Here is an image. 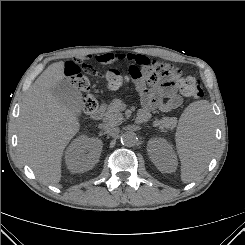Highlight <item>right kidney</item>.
<instances>
[{"label":"right kidney","mask_w":245,"mask_h":245,"mask_svg":"<svg viewBox=\"0 0 245 245\" xmlns=\"http://www.w3.org/2000/svg\"><path fill=\"white\" fill-rule=\"evenodd\" d=\"M103 142L98 138L81 135L73 140L65 153L68 169L73 173H83L92 169L99 161Z\"/></svg>","instance_id":"1"}]
</instances>
